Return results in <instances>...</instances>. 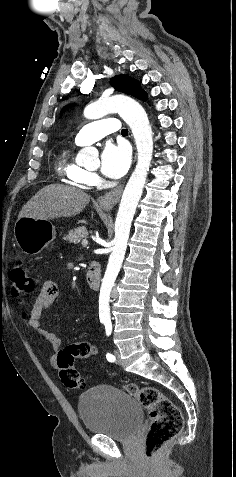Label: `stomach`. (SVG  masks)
I'll use <instances>...</instances> for the list:
<instances>
[{
    "label": "stomach",
    "instance_id": "1",
    "mask_svg": "<svg viewBox=\"0 0 236 477\" xmlns=\"http://www.w3.org/2000/svg\"><path fill=\"white\" fill-rule=\"evenodd\" d=\"M109 210V207H103ZM14 237L20 249L27 255L39 254L56 237L55 226L45 219L19 218L14 226Z\"/></svg>",
    "mask_w": 236,
    "mask_h": 477
}]
</instances>
